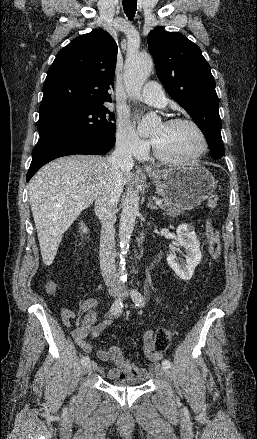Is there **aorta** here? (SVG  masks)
Masks as SVG:
<instances>
[{
    "label": "aorta",
    "mask_w": 257,
    "mask_h": 439,
    "mask_svg": "<svg viewBox=\"0 0 257 439\" xmlns=\"http://www.w3.org/2000/svg\"><path fill=\"white\" fill-rule=\"evenodd\" d=\"M153 62L147 55L130 54L124 66V83L131 95L140 93L143 84L150 76ZM157 117L153 114L145 115L138 124L139 135L148 134L156 122ZM140 197L136 190L130 191L124 199L119 224L120 239V263L119 276L122 281L127 280L125 268V255L129 250L131 235L135 226L136 216L139 212Z\"/></svg>",
    "instance_id": "762f6f07"
}]
</instances>
